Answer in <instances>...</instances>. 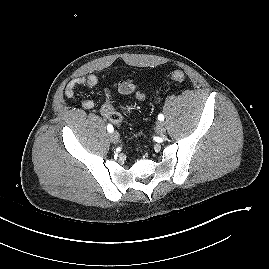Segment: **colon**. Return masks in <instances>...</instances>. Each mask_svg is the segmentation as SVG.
Instances as JSON below:
<instances>
[{"label":"colon","instance_id":"1","mask_svg":"<svg viewBox=\"0 0 269 269\" xmlns=\"http://www.w3.org/2000/svg\"><path fill=\"white\" fill-rule=\"evenodd\" d=\"M170 77L173 81L176 82H183L185 79V75L182 71L180 70H174L171 72ZM104 110L106 113V117L113 123L119 124L122 121V116L120 113H118L114 108L112 107L111 104V97L108 96L106 99V102L104 104Z\"/></svg>","mask_w":269,"mask_h":269}]
</instances>
